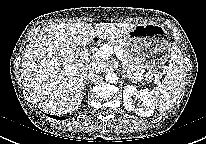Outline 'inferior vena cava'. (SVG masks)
Instances as JSON below:
<instances>
[{
	"mask_svg": "<svg viewBox=\"0 0 206 144\" xmlns=\"http://www.w3.org/2000/svg\"><path fill=\"white\" fill-rule=\"evenodd\" d=\"M101 71V64L98 62H91L85 69V78L93 79L99 75Z\"/></svg>",
	"mask_w": 206,
	"mask_h": 144,
	"instance_id": "602c4592",
	"label": "inferior vena cava"
}]
</instances>
